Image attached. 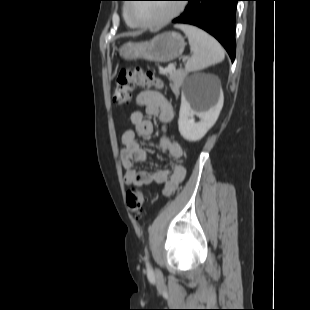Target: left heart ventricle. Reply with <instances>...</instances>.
Segmentation results:
<instances>
[{"mask_svg": "<svg viewBox=\"0 0 310 310\" xmlns=\"http://www.w3.org/2000/svg\"><path fill=\"white\" fill-rule=\"evenodd\" d=\"M175 5L169 3H139L132 4L130 15L141 22L153 23L170 15Z\"/></svg>", "mask_w": 310, "mask_h": 310, "instance_id": "obj_1", "label": "left heart ventricle"}]
</instances>
